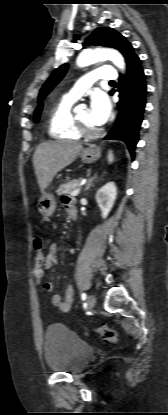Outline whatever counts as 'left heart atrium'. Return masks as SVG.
<instances>
[{"instance_id": "1", "label": "left heart atrium", "mask_w": 168, "mask_h": 415, "mask_svg": "<svg viewBox=\"0 0 168 415\" xmlns=\"http://www.w3.org/2000/svg\"><path fill=\"white\" fill-rule=\"evenodd\" d=\"M89 110L91 122L96 126L103 125L109 118L111 111V105L106 94L102 91L94 92Z\"/></svg>"}]
</instances>
